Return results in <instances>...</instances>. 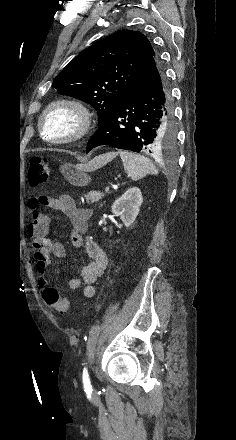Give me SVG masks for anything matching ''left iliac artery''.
Segmentation results:
<instances>
[{
  "instance_id": "obj_1",
  "label": "left iliac artery",
  "mask_w": 236,
  "mask_h": 440,
  "mask_svg": "<svg viewBox=\"0 0 236 440\" xmlns=\"http://www.w3.org/2000/svg\"><path fill=\"white\" fill-rule=\"evenodd\" d=\"M82 379H83V386H84L85 391H91L92 386H91L88 370L86 367L83 369Z\"/></svg>"
}]
</instances>
